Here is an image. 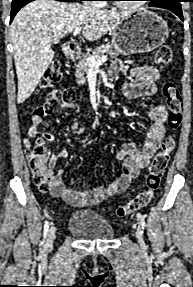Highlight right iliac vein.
<instances>
[{"label": "right iliac vein", "mask_w": 193, "mask_h": 287, "mask_svg": "<svg viewBox=\"0 0 193 287\" xmlns=\"http://www.w3.org/2000/svg\"><path fill=\"white\" fill-rule=\"evenodd\" d=\"M55 230H56L55 226H52L51 229H50V233H49L47 242H46V248L51 247L52 242H53V240L55 238Z\"/></svg>", "instance_id": "right-iliac-vein-1"}]
</instances>
